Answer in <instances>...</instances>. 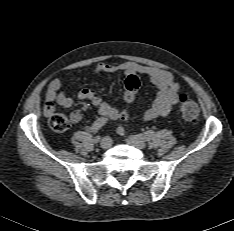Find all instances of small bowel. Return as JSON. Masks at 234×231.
Returning <instances> with one entry per match:
<instances>
[{
	"instance_id": "small-bowel-1",
	"label": "small bowel",
	"mask_w": 234,
	"mask_h": 231,
	"mask_svg": "<svg viewBox=\"0 0 234 231\" xmlns=\"http://www.w3.org/2000/svg\"><path fill=\"white\" fill-rule=\"evenodd\" d=\"M122 72L130 75L134 72L146 74L157 88V93L152 105L143 115L144 121H150L157 117H167L172 108L178 103L180 84L175 80L174 75L157 67L144 66L136 62L125 61L118 64L101 62L94 67L95 74H115ZM79 100L90 101L98 110L101 118L106 122L115 121L119 118V111L114 106L103 100V98L91 88H81L77 92ZM73 99L62 90L60 78H54L48 85L45 95L44 113L51 115L56 105L65 108L71 107ZM83 114L80 110L71 113L70 118L73 123H79Z\"/></svg>"
}]
</instances>
